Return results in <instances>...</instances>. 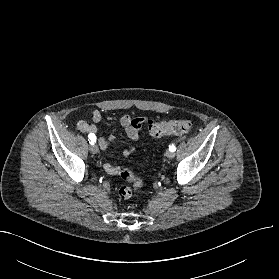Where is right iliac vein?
Instances as JSON below:
<instances>
[{"label": "right iliac vein", "instance_id": "1", "mask_svg": "<svg viewBox=\"0 0 279 279\" xmlns=\"http://www.w3.org/2000/svg\"><path fill=\"white\" fill-rule=\"evenodd\" d=\"M98 150H99V149H98L97 144L93 143V144L90 145V151H91L93 154L98 153Z\"/></svg>", "mask_w": 279, "mask_h": 279}]
</instances>
